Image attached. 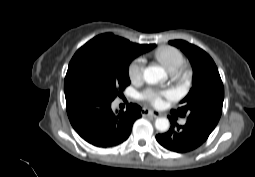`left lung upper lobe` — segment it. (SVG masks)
Masks as SVG:
<instances>
[{"instance_id":"5c2ea615","label":"left lung upper lobe","mask_w":255,"mask_h":177,"mask_svg":"<svg viewBox=\"0 0 255 177\" xmlns=\"http://www.w3.org/2000/svg\"><path fill=\"white\" fill-rule=\"evenodd\" d=\"M169 44L180 48L188 57L193 68V85L182 104L172 113L181 117L187 115V121L216 127L224 100V87L218 69L212 58L199 47L183 40L169 41Z\"/></svg>"}]
</instances>
